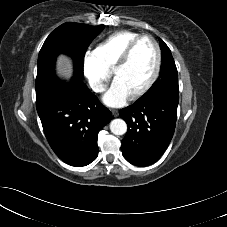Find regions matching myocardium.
Returning <instances> with one entry per match:
<instances>
[{
	"instance_id": "1",
	"label": "myocardium",
	"mask_w": 227,
	"mask_h": 227,
	"mask_svg": "<svg viewBox=\"0 0 227 227\" xmlns=\"http://www.w3.org/2000/svg\"><path fill=\"white\" fill-rule=\"evenodd\" d=\"M143 40H149L154 45L155 51H156V66H155V70L153 72V75L151 76L149 81L140 90H138L135 93L130 95V98L133 99V100L138 99V98L142 97L143 95H145L153 87V85L156 83V81L159 78V75H160V72H161V67H162V52H161V48H160L159 43L156 41V39L154 37H152L150 35L139 36L138 38L133 40L127 46V48L125 49L122 56L119 58L117 63L112 68V75H113V78L115 79L117 72L119 70H121L122 68H124L128 64L135 48Z\"/></svg>"
}]
</instances>
